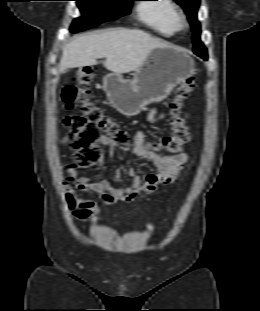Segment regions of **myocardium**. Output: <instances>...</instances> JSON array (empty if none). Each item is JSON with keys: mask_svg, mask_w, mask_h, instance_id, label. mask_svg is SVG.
Wrapping results in <instances>:
<instances>
[{"mask_svg": "<svg viewBox=\"0 0 260 311\" xmlns=\"http://www.w3.org/2000/svg\"><path fill=\"white\" fill-rule=\"evenodd\" d=\"M175 27L177 30H183L187 27V21L185 16L178 11L176 20H175Z\"/></svg>", "mask_w": 260, "mask_h": 311, "instance_id": "obj_1", "label": "myocardium"}]
</instances>
